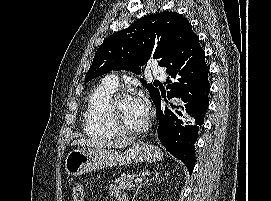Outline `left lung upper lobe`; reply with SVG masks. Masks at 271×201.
<instances>
[{
	"label": "left lung upper lobe",
	"mask_w": 271,
	"mask_h": 201,
	"mask_svg": "<svg viewBox=\"0 0 271 201\" xmlns=\"http://www.w3.org/2000/svg\"><path fill=\"white\" fill-rule=\"evenodd\" d=\"M194 37L197 36L189 21L176 12L144 16L101 44L85 76V83L112 70L126 69L140 74L139 66L151 57L157 59L160 66L167 67L176 46ZM140 81L153 99L159 90L143 79Z\"/></svg>",
	"instance_id": "obj_1"
}]
</instances>
